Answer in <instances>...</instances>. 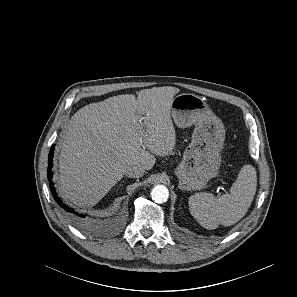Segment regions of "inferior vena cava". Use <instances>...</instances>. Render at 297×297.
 <instances>
[{"mask_svg": "<svg viewBox=\"0 0 297 297\" xmlns=\"http://www.w3.org/2000/svg\"><path fill=\"white\" fill-rule=\"evenodd\" d=\"M144 172H145L144 167L137 164H131L125 168V175L130 178H139L143 176Z\"/></svg>", "mask_w": 297, "mask_h": 297, "instance_id": "602c4592", "label": "inferior vena cava"}]
</instances>
